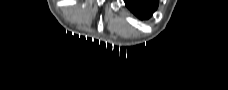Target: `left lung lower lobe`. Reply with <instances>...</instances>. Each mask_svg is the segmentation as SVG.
Wrapping results in <instances>:
<instances>
[{"instance_id": "0a47b994", "label": "left lung lower lobe", "mask_w": 228, "mask_h": 90, "mask_svg": "<svg viewBox=\"0 0 228 90\" xmlns=\"http://www.w3.org/2000/svg\"><path fill=\"white\" fill-rule=\"evenodd\" d=\"M125 3L141 19L150 17L158 6L157 0H125Z\"/></svg>"}]
</instances>
